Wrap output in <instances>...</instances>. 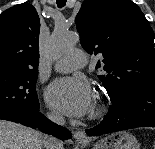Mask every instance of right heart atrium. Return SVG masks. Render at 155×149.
I'll use <instances>...</instances> for the list:
<instances>
[{
  "label": "right heart atrium",
  "instance_id": "obj_1",
  "mask_svg": "<svg viewBox=\"0 0 155 149\" xmlns=\"http://www.w3.org/2000/svg\"><path fill=\"white\" fill-rule=\"evenodd\" d=\"M49 119H51L54 122H61L62 117L58 113L51 112L48 114Z\"/></svg>",
  "mask_w": 155,
  "mask_h": 149
}]
</instances>
